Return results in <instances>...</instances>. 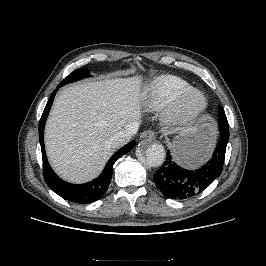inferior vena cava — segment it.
<instances>
[{
    "instance_id": "obj_1",
    "label": "inferior vena cava",
    "mask_w": 266,
    "mask_h": 266,
    "mask_svg": "<svg viewBox=\"0 0 266 266\" xmlns=\"http://www.w3.org/2000/svg\"><path fill=\"white\" fill-rule=\"evenodd\" d=\"M138 123L132 122L130 123L126 129L117 132L113 137L110 138V143L114 148L122 147L127 144L132 136L138 131Z\"/></svg>"
}]
</instances>
